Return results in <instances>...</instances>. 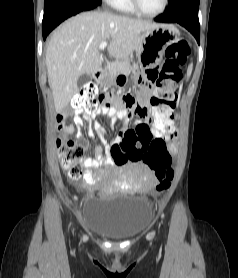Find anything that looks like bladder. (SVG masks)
Masks as SVG:
<instances>
[{
	"instance_id": "obj_1",
	"label": "bladder",
	"mask_w": 238,
	"mask_h": 278,
	"mask_svg": "<svg viewBox=\"0 0 238 278\" xmlns=\"http://www.w3.org/2000/svg\"><path fill=\"white\" fill-rule=\"evenodd\" d=\"M153 210L142 196L114 193L103 197H88L82 208L83 226L104 238H132L150 225Z\"/></svg>"
}]
</instances>
